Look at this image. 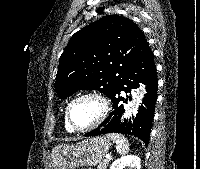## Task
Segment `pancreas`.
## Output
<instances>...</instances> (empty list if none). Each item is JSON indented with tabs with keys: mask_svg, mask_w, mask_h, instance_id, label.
<instances>
[{
	"mask_svg": "<svg viewBox=\"0 0 200 169\" xmlns=\"http://www.w3.org/2000/svg\"><path fill=\"white\" fill-rule=\"evenodd\" d=\"M109 164V160H103L102 162L99 163L97 166V169H106Z\"/></svg>",
	"mask_w": 200,
	"mask_h": 169,
	"instance_id": "cf45deb5",
	"label": "pancreas"
}]
</instances>
